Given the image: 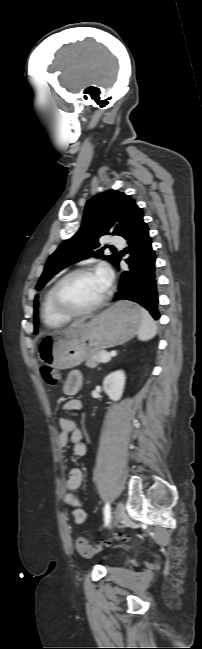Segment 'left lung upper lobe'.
<instances>
[{"mask_svg": "<svg viewBox=\"0 0 202 649\" xmlns=\"http://www.w3.org/2000/svg\"><path fill=\"white\" fill-rule=\"evenodd\" d=\"M137 217H143V211L129 195L117 190H107L95 195L85 206L79 231L71 239L63 242L48 258L36 288L41 290L52 276L68 265L90 256H102L104 248H100L98 239L106 234L123 236ZM118 256L113 254L105 258L115 263ZM38 299L36 295L34 334H37L39 325Z\"/></svg>", "mask_w": 202, "mask_h": 649, "instance_id": "left-lung-upper-lobe-1", "label": "left lung upper lobe"}]
</instances>
